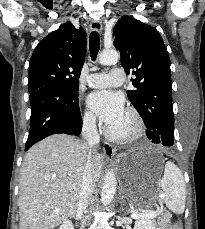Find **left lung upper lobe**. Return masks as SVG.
<instances>
[{
    "label": "left lung upper lobe",
    "mask_w": 205,
    "mask_h": 229,
    "mask_svg": "<svg viewBox=\"0 0 205 229\" xmlns=\"http://www.w3.org/2000/svg\"><path fill=\"white\" fill-rule=\"evenodd\" d=\"M113 45L121 53V63L132 79L135 90L127 96L147 127L164 130V146L174 143V114L170 59L159 32L133 17L123 16L114 27ZM149 139V138H148ZM152 141V139H150Z\"/></svg>",
    "instance_id": "obj_1"
}]
</instances>
